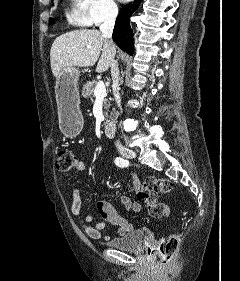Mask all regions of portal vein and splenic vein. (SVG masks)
I'll return each mask as SVG.
<instances>
[{"mask_svg": "<svg viewBox=\"0 0 240 281\" xmlns=\"http://www.w3.org/2000/svg\"><path fill=\"white\" fill-rule=\"evenodd\" d=\"M94 95L96 98H104L106 96V87L103 81H99L96 85Z\"/></svg>", "mask_w": 240, "mask_h": 281, "instance_id": "obj_1", "label": "portal vein and splenic vein"}]
</instances>
